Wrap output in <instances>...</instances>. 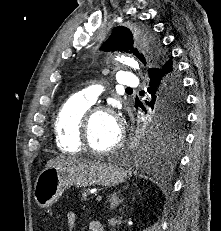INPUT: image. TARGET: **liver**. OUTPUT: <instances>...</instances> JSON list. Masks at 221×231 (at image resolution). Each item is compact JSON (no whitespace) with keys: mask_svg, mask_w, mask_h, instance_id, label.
I'll return each instance as SVG.
<instances>
[{"mask_svg":"<svg viewBox=\"0 0 221 231\" xmlns=\"http://www.w3.org/2000/svg\"><path fill=\"white\" fill-rule=\"evenodd\" d=\"M81 162H87L86 160H82L80 158L76 157H56L50 161L47 162L46 169L47 168H52V167H61L65 165H71V164H76V163H81Z\"/></svg>","mask_w":221,"mask_h":231,"instance_id":"liver-1","label":"liver"}]
</instances>
